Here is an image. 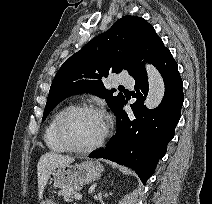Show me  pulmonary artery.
I'll list each match as a JSON object with an SVG mask.
<instances>
[{
    "instance_id": "1",
    "label": "pulmonary artery",
    "mask_w": 212,
    "mask_h": 204,
    "mask_svg": "<svg viewBox=\"0 0 212 204\" xmlns=\"http://www.w3.org/2000/svg\"><path fill=\"white\" fill-rule=\"evenodd\" d=\"M118 83L126 86H133L134 79L130 76L121 75L118 79Z\"/></svg>"
}]
</instances>
